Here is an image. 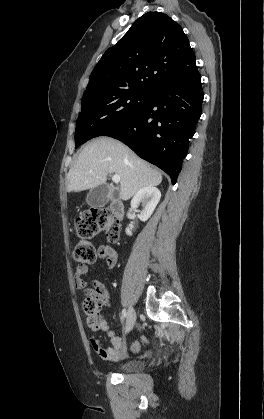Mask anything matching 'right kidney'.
<instances>
[{
	"label": "right kidney",
	"instance_id": "obj_1",
	"mask_svg": "<svg viewBox=\"0 0 264 419\" xmlns=\"http://www.w3.org/2000/svg\"><path fill=\"white\" fill-rule=\"evenodd\" d=\"M160 198L161 192L156 187H144L140 189L131 200L130 210H136L139 204L142 203L144 209L138 215V218L145 222L154 212L158 202L160 201ZM131 229L132 228L129 227L126 228L127 235H132Z\"/></svg>",
	"mask_w": 264,
	"mask_h": 419
}]
</instances>
